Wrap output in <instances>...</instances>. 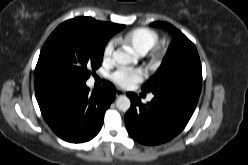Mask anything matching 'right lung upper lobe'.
<instances>
[{
    "label": "right lung upper lobe",
    "instance_id": "obj_1",
    "mask_svg": "<svg viewBox=\"0 0 248 165\" xmlns=\"http://www.w3.org/2000/svg\"><path fill=\"white\" fill-rule=\"evenodd\" d=\"M66 23L73 24L87 32H90L98 37L112 36L122 30L125 26L109 22L96 21L91 17H77L66 21ZM53 85V83L34 80L35 92L38 94L43 89L48 86Z\"/></svg>",
    "mask_w": 248,
    "mask_h": 165
}]
</instances>
